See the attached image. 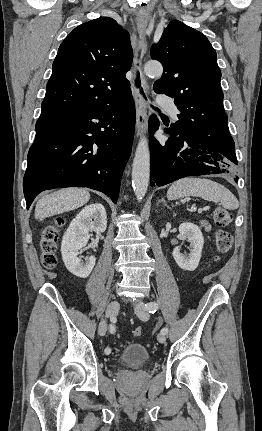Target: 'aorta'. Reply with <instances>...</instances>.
Masks as SVG:
<instances>
[{
	"label": "aorta",
	"instance_id": "1",
	"mask_svg": "<svg viewBox=\"0 0 262 431\" xmlns=\"http://www.w3.org/2000/svg\"><path fill=\"white\" fill-rule=\"evenodd\" d=\"M144 72L149 77H159L163 73V67L159 62H148L144 66ZM149 175V146L147 139L143 137L138 143L132 164V186L138 200H142L147 192Z\"/></svg>",
	"mask_w": 262,
	"mask_h": 431
}]
</instances>
